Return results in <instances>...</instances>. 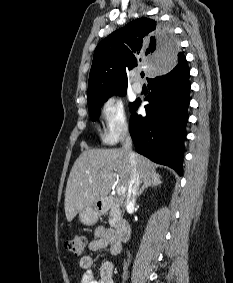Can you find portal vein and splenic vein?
Listing matches in <instances>:
<instances>
[{
  "instance_id": "18ae733b",
  "label": "portal vein and splenic vein",
  "mask_w": 233,
  "mask_h": 283,
  "mask_svg": "<svg viewBox=\"0 0 233 283\" xmlns=\"http://www.w3.org/2000/svg\"><path fill=\"white\" fill-rule=\"evenodd\" d=\"M125 191H126V189H125L124 186L121 185V186H118V187H117V194H118V195L124 194Z\"/></svg>"
}]
</instances>
